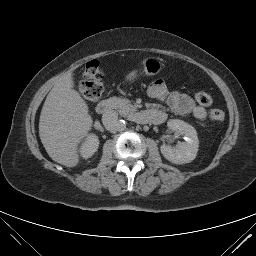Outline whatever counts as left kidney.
I'll list each match as a JSON object with an SVG mask.
<instances>
[{"label":"left kidney","mask_w":256,"mask_h":256,"mask_svg":"<svg viewBox=\"0 0 256 256\" xmlns=\"http://www.w3.org/2000/svg\"><path fill=\"white\" fill-rule=\"evenodd\" d=\"M169 129L181 133L185 137V142L173 149L169 145H161L160 151L162 155L174 164H185L193 161L198 152L199 140L195 128L179 119L168 121Z\"/></svg>","instance_id":"obj_1"}]
</instances>
